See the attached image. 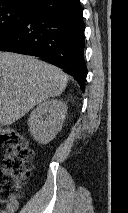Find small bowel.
Segmentation results:
<instances>
[{
  "label": "small bowel",
  "mask_w": 128,
  "mask_h": 213,
  "mask_svg": "<svg viewBox=\"0 0 128 213\" xmlns=\"http://www.w3.org/2000/svg\"><path fill=\"white\" fill-rule=\"evenodd\" d=\"M19 203L17 200L7 202L4 208L0 209V213H15L18 209Z\"/></svg>",
  "instance_id": "1"
}]
</instances>
